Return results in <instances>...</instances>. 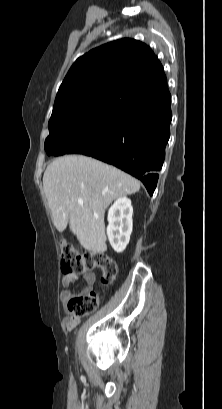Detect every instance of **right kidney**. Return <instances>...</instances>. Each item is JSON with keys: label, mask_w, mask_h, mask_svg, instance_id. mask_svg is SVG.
<instances>
[{"label": "right kidney", "mask_w": 222, "mask_h": 409, "mask_svg": "<svg viewBox=\"0 0 222 409\" xmlns=\"http://www.w3.org/2000/svg\"><path fill=\"white\" fill-rule=\"evenodd\" d=\"M133 207L127 197L118 198L108 211L107 235L112 248L121 253L129 243L133 227Z\"/></svg>", "instance_id": "ca27d5eb"}]
</instances>
